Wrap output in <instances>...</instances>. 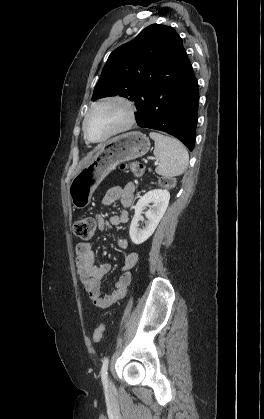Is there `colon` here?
Segmentation results:
<instances>
[{"label": "colon", "instance_id": "5ec220e1", "mask_svg": "<svg viewBox=\"0 0 264 419\" xmlns=\"http://www.w3.org/2000/svg\"><path fill=\"white\" fill-rule=\"evenodd\" d=\"M122 170L128 171L136 176H142L146 173L145 166L137 161H131L124 163L120 166ZM161 185L165 187H173L175 185L174 178L165 177L160 179ZM96 227V221L92 217H82L78 219L74 224V233L77 237L83 240H89L93 237ZM105 332V325L99 324L93 334V341L99 343Z\"/></svg>", "mask_w": 264, "mask_h": 419}]
</instances>
